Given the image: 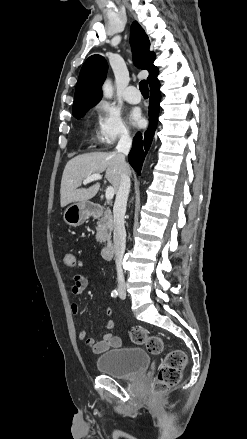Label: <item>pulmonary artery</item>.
<instances>
[{
	"label": "pulmonary artery",
	"mask_w": 247,
	"mask_h": 439,
	"mask_svg": "<svg viewBox=\"0 0 247 439\" xmlns=\"http://www.w3.org/2000/svg\"><path fill=\"white\" fill-rule=\"evenodd\" d=\"M124 99L131 104H137L141 101V95L135 86H128L124 91Z\"/></svg>",
	"instance_id": "pulmonary-artery-1"
}]
</instances>
